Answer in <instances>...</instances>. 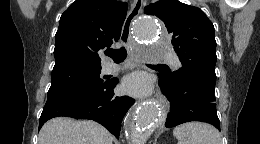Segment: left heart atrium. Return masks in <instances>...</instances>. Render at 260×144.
<instances>
[{
  "mask_svg": "<svg viewBox=\"0 0 260 144\" xmlns=\"http://www.w3.org/2000/svg\"><path fill=\"white\" fill-rule=\"evenodd\" d=\"M121 87L125 93L142 96L150 93L152 84L146 74L133 73L125 77Z\"/></svg>",
  "mask_w": 260,
  "mask_h": 144,
  "instance_id": "left-heart-atrium-1",
  "label": "left heart atrium"
}]
</instances>
